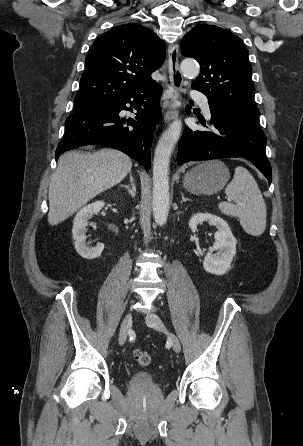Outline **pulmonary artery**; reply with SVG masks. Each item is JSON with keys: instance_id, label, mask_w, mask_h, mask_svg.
<instances>
[{"instance_id": "pulmonary-artery-1", "label": "pulmonary artery", "mask_w": 303, "mask_h": 446, "mask_svg": "<svg viewBox=\"0 0 303 446\" xmlns=\"http://www.w3.org/2000/svg\"><path fill=\"white\" fill-rule=\"evenodd\" d=\"M191 96H192V98L194 100L199 102V104L202 107V110H203L204 114L207 117H210L211 116V111H210V106H209V103H208V100H207L206 96L204 94H202L201 92H198V91H193Z\"/></svg>"}]
</instances>
